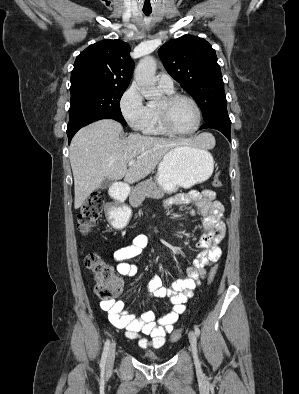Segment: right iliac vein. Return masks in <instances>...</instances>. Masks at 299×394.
<instances>
[{
	"instance_id": "right-iliac-vein-1",
	"label": "right iliac vein",
	"mask_w": 299,
	"mask_h": 394,
	"mask_svg": "<svg viewBox=\"0 0 299 394\" xmlns=\"http://www.w3.org/2000/svg\"><path fill=\"white\" fill-rule=\"evenodd\" d=\"M115 353H116L115 344L112 343L108 351L107 360H106L107 369H111L113 367L115 360Z\"/></svg>"
}]
</instances>
